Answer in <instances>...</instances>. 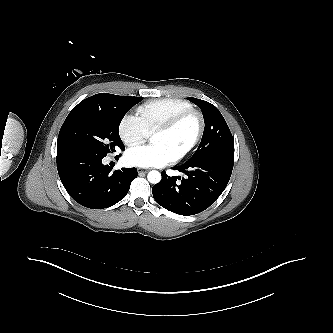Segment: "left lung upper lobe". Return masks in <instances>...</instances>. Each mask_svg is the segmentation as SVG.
<instances>
[{
    "instance_id": "5c2ea615",
    "label": "left lung upper lobe",
    "mask_w": 333,
    "mask_h": 333,
    "mask_svg": "<svg viewBox=\"0 0 333 333\" xmlns=\"http://www.w3.org/2000/svg\"><path fill=\"white\" fill-rule=\"evenodd\" d=\"M188 100L200 107L205 128L198 149L187 162L214 156L234 158V140L220 111L207 101L192 97H188Z\"/></svg>"
}]
</instances>
